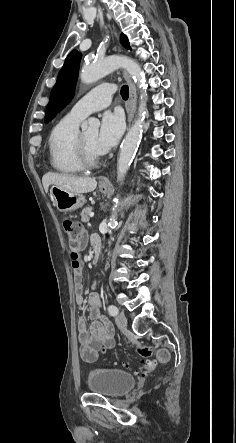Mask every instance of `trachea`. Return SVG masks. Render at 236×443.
I'll return each mask as SVG.
<instances>
[{"mask_svg":"<svg viewBox=\"0 0 236 443\" xmlns=\"http://www.w3.org/2000/svg\"><path fill=\"white\" fill-rule=\"evenodd\" d=\"M121 96H122V98L123 99H128V96H129V88H128V86H123L122 88H121Z\"/></svg>","mask_w":236,"mask_h":443,"instance_id":"trachea-1","label":"trachea"}]
</instances>
